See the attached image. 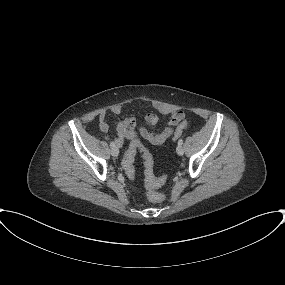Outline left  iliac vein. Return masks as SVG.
Instances as JSON below:
<instances>
[{
    "mask_svg": "<svg viewBox=\"0 0 285 285\" xmlns=\"http://www.w3.org/2000/svg\"><path fill=\"white\" fill-rule=\"evenodd\" d=\"M176 152L178 155H183L184 154V149L181 145H178L177 148H176Z\"/></svg>",
    "mask_w": 285,
    "mask_h": 285,
    "instance_id": "left-iliac-vein-1",
    "label": "left iliac vein"
}]
</instances>
